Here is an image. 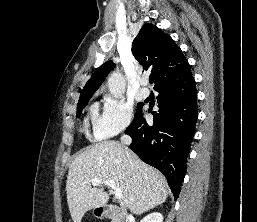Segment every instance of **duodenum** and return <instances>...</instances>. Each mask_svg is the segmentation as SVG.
I'll use <instances>...</instances> for the list:
<instances>
[{"mask_svg":"<svg viewBox=\"0 0 257 222\" xmlns=\"http://www.w3.org/2000/svg\"><path fill=\"white\" fill-rule=\"evenodd\" d=\"M98 217L111 216L115 222H127L124 210L117 205H100L95 210Z\"/></svg>","mask_w":257,"mask_h":222,"instance_id":"410a0bca","label":"duodenum"}]
</instances>
